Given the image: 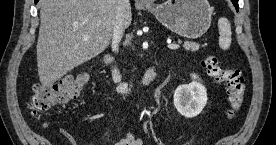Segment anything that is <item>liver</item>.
I'll use <instances>...</instances> for the list:
<instances>
[{
	"label": "liver",
	"instance_id": "liver-1",
	"mask_svg": "<svg viewBox=\"0 0 276 145\" xmlns=\"http://www.w3.org/2000/svg\"><path fill=\"white\" fill-rule=\"evenodd\" d=\"M116 0H41L37 67L41 84L50 87L66 73L96 57L110 44ZM123 27L132 21L130 4ZM88 35V39H83Z\"/></svg>",
	"mask_w": 276,
	"mask_h": 145
}]
</instances>
